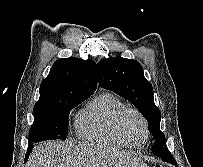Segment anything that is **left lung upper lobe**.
<instances>
[{"instance_id": "obj_1", "label": "left lung upper lobe", "mask_w": 203, "mask_h": 167, "mask_svg": "<svg viewBox=\"0 0 203 167\" xmlns=\"http://www.w3.org/2000/svg\"><path fill=\"white\" fill-rule=\"evenodd\" d=\"M99 85L131 102L148 121L155 146L166 145L160 131L161 115L153 99L151 83L144 77L141 64L132 59L115 57L102 59L97 64ZM173 159V158H172Z\"/></svg>"}]
</instances>
